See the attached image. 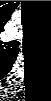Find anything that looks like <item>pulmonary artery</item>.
Instances as JSON below:
<instances>
[{
  "label": "pulmonary artery",
  "instance_id": "pulmonary-artery-1",
  "mask_svg": "<svg viewBox=\"0 0 51 101\" xmlns=\"http://www.w3.org/2000/svg\"><path fill=\"white\" fill-rule=\"evenodd\" d=\"M20 37H22V31H20L19 33H17L16 36H9V37H7V39H11V38H20Z\"/></svg>",
  "mask_w": 51,
  "mask_h": 101
}]
</instances>
